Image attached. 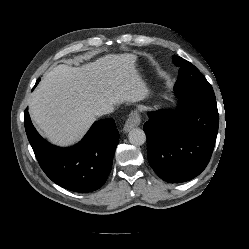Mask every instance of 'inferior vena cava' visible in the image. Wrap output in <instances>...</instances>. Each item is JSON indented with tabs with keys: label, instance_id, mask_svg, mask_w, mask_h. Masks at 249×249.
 I'll return each instance as SVG.
<instances>
[{
	"label": "inferior vena cava",
	"instance_id": "inferior-vena-cava-1",
	"mask_svg": "<svg viewBox=\"0 0 249 249\" xmlns=\"http://www.w3.org/2000/svg\"><path fill=\"white\" fill-rule=\"evenodd\" d=\"M114 108L112 105H105L96 112V115L101 116L113 112Z\"/></svg>",
	"mask_w": 249,
	"mask_h": 249
}]
</instances>
